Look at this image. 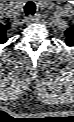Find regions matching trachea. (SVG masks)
Masks as SVG:
<instances>
[{"label":"trachea","mask_w":74,"mask_h":122,"mask_svg":"<svg viewBox=\"0 0 74 122\" xmlns=\"http://www.w3.org/2000/svg\"><path fill=\"white\" fill-rule=\"evenodd\" d=\"M36 12V5L33 1H28L24 6V13L26 16L34 15Z\"/></svg>","instance_id":"obj_1"}]
</instances>
